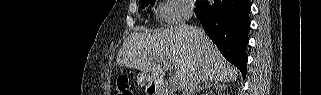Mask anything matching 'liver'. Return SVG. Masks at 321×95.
Returning <instances> with one entry per match:
<instances>
[{"instance_id":"liver-1","label":"liver","mask_w":321,"mask_h":95,"mask_svg":"<svg viewBox=\"0 0 321 95\" xmlns=\"http://www.w3.org/2000/svg\"><path fill=\"white\" fill-rule=\"evenodd\" d=\"M163 61L172 64L181 89L199 72L205 82H233L238 77V70L225 60L204 32L200 34L195 27L183 24L153 34L133 33L117 55L118 65L151 73V78L158 80L165 75L160 65Z\"/></svg>"}]
</instances>
